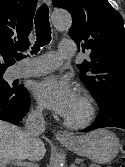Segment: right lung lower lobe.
<instances>
[{
    "label": "right lung lower lobe",
    "instance_id": "98d812e1",
    "mask_svg": "<svg viewBox=\"0 0 125 167\" xmlns=\"http://www.w3.org/2000/svg\"><path fill=\"white\" fill-rule=\"evenodd\" d=\"M13 90L0 87V119L16 124L20 122L30 107V97L22 85Z\"/></svg>",
    "mask_w": 125,
    "mask_h": 167
}]
</instances>
